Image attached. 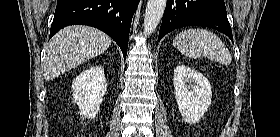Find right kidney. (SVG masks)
<instances>
[{
  "mask_svg": "<svg viewBox=\"0 0 280 137\" xmlns=\"http://www.w3.org/2000/svg\"><path fill=\"white\" fill-rule=\"evenodd\" d=\"M72 89L74 102L80 110L79 114L83 118L93 119L107 90L103 68L93 66L84 70L73 80Z\"/></svg>",
  "mask_w": 280,
  "mask_h": 137,
  "instance_id": "1",
  "label": "right kidney"
}]
</instances>
